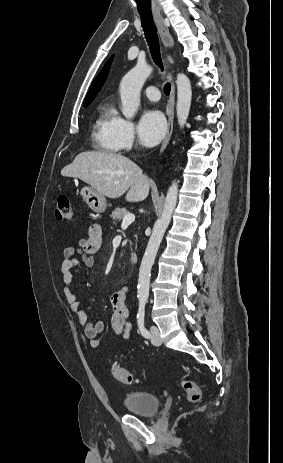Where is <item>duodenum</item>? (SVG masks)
<instances>
[{"mask_svg": "<svg viewBox=\"0 0 283 463\" xmlns=\"http://www.w3.org/2000/svg\"><path fill=\"white\" fill-rule=\"evenodd\" d=\"M138 262V255L136 253L131 254L130 256V263L132 265H136Z\"/></svg>", "mask_w": 283, "mask_h": 463, "instance_id": "1", "label": "duodenum"}]
</instances>
